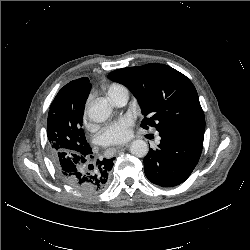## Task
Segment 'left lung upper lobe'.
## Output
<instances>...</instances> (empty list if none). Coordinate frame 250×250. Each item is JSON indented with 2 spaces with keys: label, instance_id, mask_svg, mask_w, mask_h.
<instances>
[{
  "label": "left lung upper lobe",
  "instance_id": "5c2ea615",
  "mask_svg": "<svg viewBox=\"0 0 250 250\" xmlns=\"http://www.w3.org/2000/svg\"><path fill=\"white\" fill-rule=\"evenodd\" d=\"M137 98L145 118L141 127L157 131L204 130L205 117L192 82L164 64L122 68L108 74Z\"/></svg>",
  "mask_w": 250,
  "mask_h": 250
}]
</instances>
